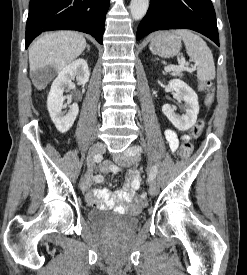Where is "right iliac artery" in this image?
<instances>
[{
  "instance_id": "1",
  "label": "right iliac artery",
  "mask_w": 247,
  "mask_h": 275,
  "mask_svg": "<svg viewBox=\"0 0 247 275\" xmlns=\"http://www.w3.org/2000/svg\"><path fill=\"white\" fill-rule=\"evenodd\" d=\"M102 159H101V156L100 155H96L95 157H94V161L95 162H100ZM94 180L96 181V182H102V180H103V177L101 176V175H96L95 177H94Z\"/></svg>"
}]
</instances>
